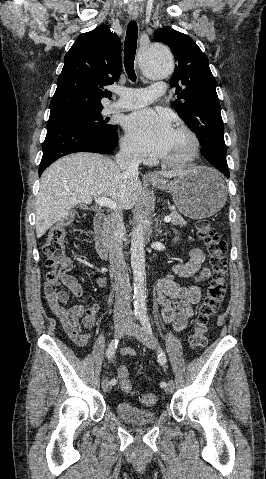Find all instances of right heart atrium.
<instances>
[{
	"mask_svg": "<svg viewBox=\"0 0 266 479\" xmlns=\"http://www.w3.org/2000/svg\"><path fill=\"white\" fill-rule=\"evenodd\" d=\"M121 149L123 154L132 160H141L143 158L142 153L127 136L121 139Z\"/></svg>",
	"mask_w": 266,
	"mask_h": 479,
	"instance_id": "obj_1",
	"label": "right heart atrium"
}]
</instances>
